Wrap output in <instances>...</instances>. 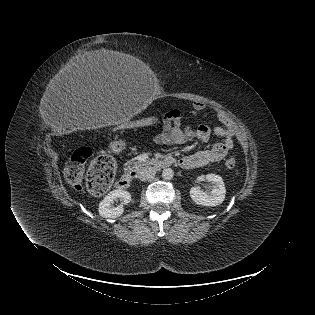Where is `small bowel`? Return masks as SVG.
Returning <instances> with one entry per match:
<instances>
[{
	"label": "small bowel",
	"instance_id": "c3829d8e",
	"mask_svg": "<svg viewBox=\"0 0 315 315\" xmlns=\"http://www.w3.org/2000/svg\"><path fill=\"white\" fill-rule=\"evenodd\" d=\"M205 109L201 102L191 104V114L197 115ZM217 118L222 125L211 128L207 125L197 127L184 126L183 114L180 110L173 109L165 113L162 121V130L155 135L154 141L166 145H182L188 141L198 140L207 142L214 134L223 138L222 142L214 144L212 147L184 156L178 160V164L185 169L203 167L217 163L233 149L234 130L228 118L222 113L217 112Z\"/></svg>",
	"mask_w": 315,
	"mask_h": 315
}]
</instances>
